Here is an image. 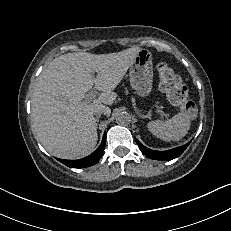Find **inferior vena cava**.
Here are the masks:
<instances>
[{"instance_id": "inferior-vena-cava-1", "label": "inferior vena cava", "mask_w": 231, "mask_h": 231, "mask_svg": "<svg viewBox=\"0 0 231 231\" xmlns=\"http://www.w3.org/2000/svg\"><path fill=\"white\" fill-rule=\"evenodd\" d=\"M106 107H101L98 108L97 110L94 111V115H101L102 113L105 114Z\"/></svg>"}]
</instances>
